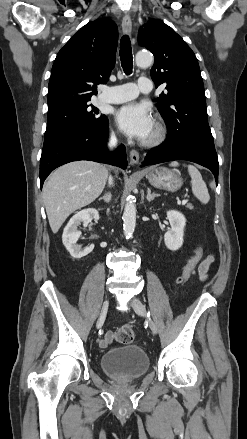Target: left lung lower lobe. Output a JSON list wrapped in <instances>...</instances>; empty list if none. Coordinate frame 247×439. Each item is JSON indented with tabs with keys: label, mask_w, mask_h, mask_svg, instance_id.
<instances>
[{
	"label": "left lung lower lobe",
	"mask_w": 247,
	"mask_h": 439,
	"mask_svg": "<svg viewBox=\"0 0 247 439\" xmlns=\"http://www.w3.org/2000/svg\"><path fill=\"white\" fill-rule=\"evenodd\" d=\"M167 137L163 144L147 153L142 166L173 160H188L210 169L218 183V157L214 149L182 143L178 138L170 135Z\"/></svg>",
	"instance_id": "1"
}]
</instances>
